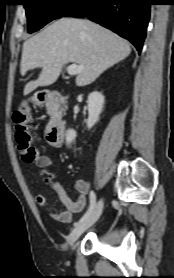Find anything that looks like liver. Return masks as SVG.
<instances>
[{
  "mask_svg": "<svg viewBox=\"0 0 174 278\" xmlns=\"http://www.w3.org/2000/svg\"><path fill=\"white\" fill-rule=\"evenodd\" d=\"M130 53L129 43L109 29L89 20L61 18L23 44L21 75L42 69L38 79L25 85L24 95L53 84L69 62L84 67L76 85H88Z\"/></svg>",
  "mask_w": 174,
  "mask_h": 278,
  "instance_id": "obj_1",
  "label": "liver"
}]
</instances>
